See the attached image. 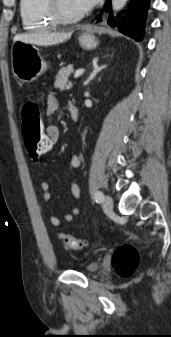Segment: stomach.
<instances>
[{
    "label": "stomach",
    "instance_id": "0dacf381",
    "mask_svg": "<svg viewBox=\"0 0 171 337\" xmlns=\"http://www.w3.org/2000/svg\"><path fill=\"white\" fill-rule=\"evenodd\" d=\"M80 45L88 50L94 49L98 41L91 33H83L79 37ZM11 64L14 76L22 82L30 83L36 80L47 69V63L39 49L23 41L14 42L11 50Z\"/></svg>",
    "mask_w": 171,
    "mask_h": 337
}]
</instances>
